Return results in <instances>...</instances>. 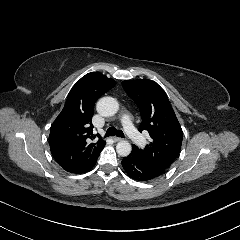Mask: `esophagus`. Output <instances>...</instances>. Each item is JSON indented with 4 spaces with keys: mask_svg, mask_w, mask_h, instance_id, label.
<instances>
[{
    "mask_svg": "<svg viewBox=\"0 0 240 240\" xmlns=\"http://www.w3.org/2000/svg\"><path fill=\"white\" fill-rule=\"evenodd\" d=\"M113 140H114V142H120V141H122L123 139H122V138H119V137H114Z\"/></svg>",
    "mask_w": 240,
    "mask_h": 240,
    "instance_id": "obj_1",
    "label": "esophagus"
}]
</instances>
